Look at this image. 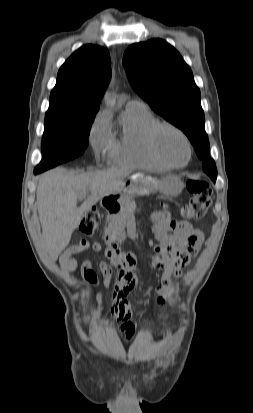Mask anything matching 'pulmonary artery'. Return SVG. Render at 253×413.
I'll return each instance as SVG.
<instances>
[{"label":"pulmonary artery","mask_w":253,"mask_h":413,"mask_svg":"<svg viewBox=\"0 0 253 413\" xmlns=\"http://www.w3.org/2000/svg\"><path fill=\"white\" fill-rule=\"evenodd\" d=\"M127 106L129 107H145V104L143 102L137 101V100H131L128 102Z\"/></svg>","instance_id":"pulmonary-artery-1"}]
</instances>
